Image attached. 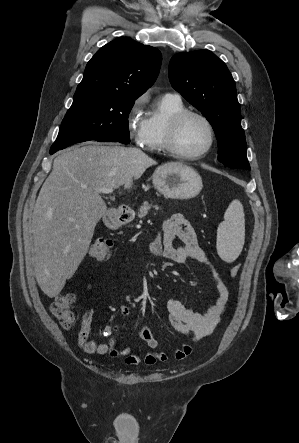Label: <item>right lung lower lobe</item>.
I'll list each match as a JSON object with an SVG mask.
<instances>
[{
	"mask_svg": "<svg viewBox=\"0 0 299 443\" xmlns=\"http://www.w3.org/2000/svg\"><path fill=\"white\" fill-rule=\"evenodd\" d=\"M97 141H100V142H106V141H108V142H110V141H113V142H115L116 140H113V139H97ZM56 151H58V149H51L50 150V154H53V153H55Z\"/></svg>",
	"mask_w": 299,
	"mask_h": 443,
	"instance_id": "98d812e1",
	"label": "right lung lower lobe"
}]
</instances>
